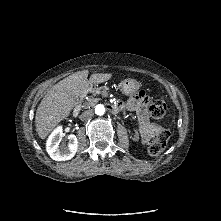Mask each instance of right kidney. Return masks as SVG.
<instances>
[{"label":"right kidney","mask_w":221,"mask_h":221,"mask_svg":"<svg viewBox=\"0 0 221 221\" xmlns=\"http://www.w3.org/2000/svg\"><path fill=\"white\" fill-rule=\"evenodd\" d=\"M63 130L62 127L56 128L52 134L49 136L46 149L48 154L53 160L56 161H66L72 159L78 149V140L75 135H69V145H60V142L63 138Z\"/></svg>","instance_id":"right-kidney-1"}]
</instances>
